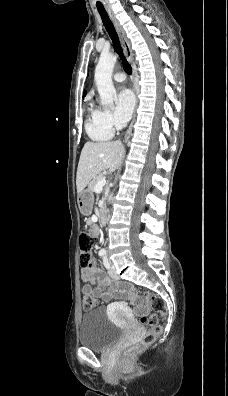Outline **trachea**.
Listing matches in <instances>:
<instances>
[{
  "instance_id": "3493384b",
  "label": "trachea",
  "mask_w": 228,
  "mask_h": 396,
  "mask_svg": "<svg viewBox=\"0 0 228 396\" xmlns=\"http://www.w3.org/2000/svg\"><path fill=\"white\" fill-rule=\"evenodd\" d=\"M97 9H98V12H99V14L101 16L103 24H104L109 36L111 37V40L113 42L115 51L119 54V56H120V58H121V60L123 62L124 70L126 71V73L131 75L132 74V68H131L130 64L128 63V61L125 59L124 55H123V51H122V48H121V45H120V42H119V38H118V35H117L116 31H115V28H114L112 22L108 18V15H107L104 7L97 6Z\"/></svg>"
}]
</instances>
